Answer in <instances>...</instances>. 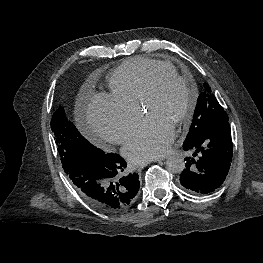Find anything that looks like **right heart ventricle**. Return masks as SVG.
<instances>
[{
  "label": "right heart ventricle",
  "mask_w": 263,
  "mask_h": 263,
  "mask_svg": "<svg viewBox=\"0 0 263 263\" xmlns=\"http://www.w3.org/2000/svg\"><path fill=\"white\" fill-rule=\"evenodd\" d=\"M176 71L165 61L136 57L124 61L109 76L110 94L118 101L138 109L142 95L158 72Z\"/></svg>",
  "instance_id": "e07e8e85"
}]
</instances>
